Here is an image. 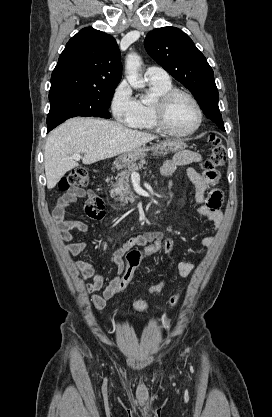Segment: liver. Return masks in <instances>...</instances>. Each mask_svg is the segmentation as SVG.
Segmentation results:
<instances>
[{
  "label": "liver",
  "mask_w": 272,
  "mask_h": 417,
  "mask_svg": "<svg viewBox=\"0 0 272 417\" xmlns=\"http://www.w3.org/2000/svg\"><path fill=\"white\" fill-rule=\"evenodd\" d=\"M150 133L129 129L115 121L76 117L50 132L44 151V167L49 189L66 172L78 166L74 153H83L82 162L90 165L132 151L154 139Z\"/></svg>",
  "instance_id": "1"
}]
</instances>
